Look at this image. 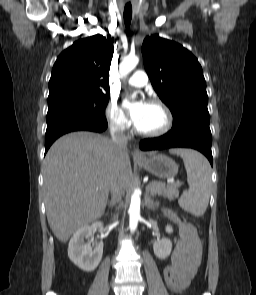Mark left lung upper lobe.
I'll return each mask as SVG.
<instances>
[{
  "mask_svg": "<svg viewBox=\"0 0 256 295\" xmlns=\"http://www.w3.org/2000/svg\"><path fill=\"white\" fill-rule=\"evenodd\" d=\"M141 50L153 88L173 115L172 128L187 122L209 125L206 82L196 57L157 35L146 37Z\"/></svg>",
  "mask_w": 256,
  "mask_h": 295,
  "instance_id": "5c2ea615",
  "label": "left lung upper lobe"
}]
</instances>
